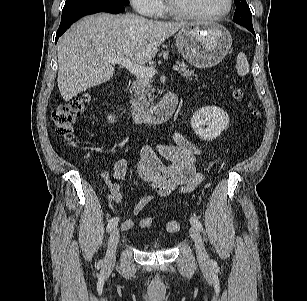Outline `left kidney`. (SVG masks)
<instances>
[{
  "label": "left kidney",
  "instance_id": "obj_1",
  "mask_svg": "<svg viewBox=\"0 0 307 301\" xmlns=\"http://www.w3.org/2000/svg\"><path fill=\"white\" fill-rule=\"evenodd\" d=\"M228 124V114L216 106L200 108L191 119L194 132L203 140L217 138L228 127Z\"/></svg>",
  "mask_w": 307,
  "mask_h": 301
}]
</instances>
